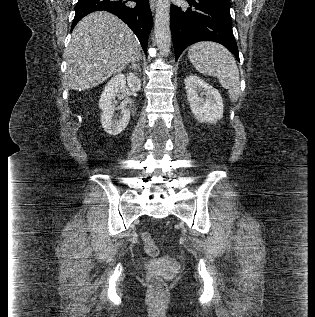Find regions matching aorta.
I'll use <instances>...</instances> for the list:
<instances>
[{
    "label": "aorta",
    "mask_w": 315,
    "mask_h": 317,
    "mask_svg": "<svg viewBox=\"0 0 315 317\" xmlns=\"http://www.w3.org/2000/svg\"><path fill=\"white\" fill-rule=\"evenodd\" d=\"M154 32L160 53L167 56L171 47L170 0H157Z\"/></svg>",
    "instance_id": "762f6f07"
}]
</instances>
